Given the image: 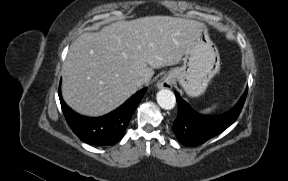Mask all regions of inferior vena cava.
<instances>
[{
    "mask_svg": "<svg viewBox=\"0 0 288 181\" xmlns=\"http://www.w3.org/2000/svg\"><path fill=\"white\" fill-rule=\"evenodd\" d=\"M144 84H145V79L144 78L136 79L135 82H134V85L136 87H141Z\"/></svg>",
    "mask_w": 288,
    "mask_h": 181,
    "instance_id": "inferior-vena-cava-1",
    "label": "inferior vena cava"
}]
</instances>
